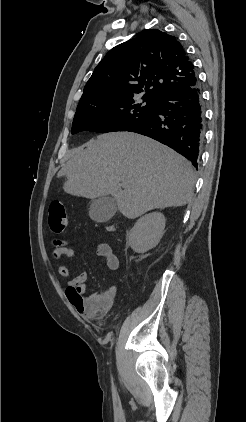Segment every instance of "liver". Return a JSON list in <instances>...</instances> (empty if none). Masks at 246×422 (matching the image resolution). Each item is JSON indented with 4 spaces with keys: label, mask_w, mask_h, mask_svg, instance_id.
I'll use <instances>...</instances> for the list:
<instances>
[{
    "label": "liver",
    "mask_w": 246,
    "mask_h": 422,
    "mask_svg": "<svg viewBox=\"0 0 246 422\" xmlns=\"http://www.w3.org/2000/svg\"><path fill=\"white\" fill-rule=\"evenodd\" d=\"M63 176L67 194L89 199L110 194L129 219L153 209L186 205L195 184L187 159L149 137L130 132L90 140L57 174Z\"/></svg>",
    "instance_id": "liver-1"
}]
</instances>
